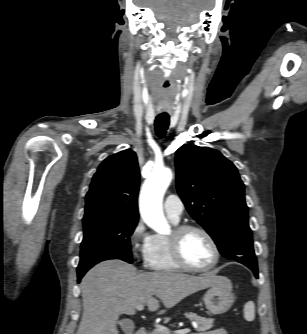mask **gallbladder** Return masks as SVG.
<instances>
[{"label": "gallbladder", "mask_w": 307, "mask_h": 334, "mask_svg": "<svg viewBox=\"0 0 307 334\" xmlns=\"http://www.w3.org/2000/svg\"><path fill=\"white\" fill-rule=\"evenodd\" d=\"M120 326H121V329L126 334H132V332L135 329L134 323L129 319H124V320L120 321Z\"/></svg>", "instance_id": "1"}]
</instances>
